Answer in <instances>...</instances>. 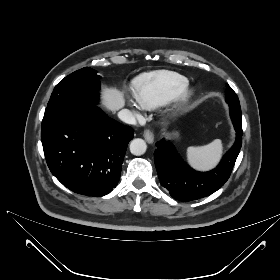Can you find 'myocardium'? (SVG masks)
Listing matches in <instances>:
<instances>
[{"instance_id": "f54148a6", "label": "myocardium", "mask_w": 280, "mask_h": 280, "mask_svg": "<svg viewBox=\"0 0 280 280\" xmlns=\"http://www.w3.org/2000/svg\"><path fill=\"white\" fill-rule=\"evenodd\" d=\"M192 96L193 89L188 86L185 87L166 103L164 110L165 115L168 117H172L179 114L185 108Z\"/></svg>"}]
</instances>
